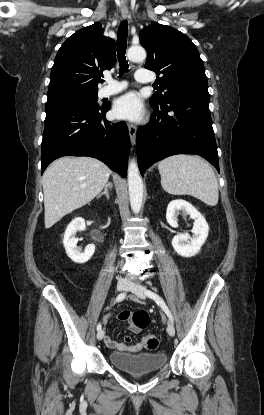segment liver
I'll return each instance as SVG.
<instances>
[{"label": "liver", "instance_id": "6515ba94", "mask_svg": "<svg viewBox=\"0 0 264 415\" xmlns=\"http://www.w3.org/2000/svg\"><path fill=\"white\" fill-rule=\"evenodd\" d=\"M110 169L91 157H62L43 174L45 228L93 200L105 187Z\"/></svg>", "mask_w": 264, "mask_h": 415}]
</instances>
